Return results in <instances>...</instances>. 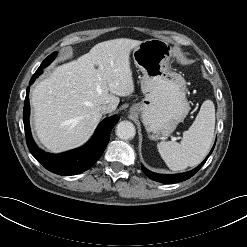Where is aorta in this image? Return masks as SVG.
Segmentation results:
<instances>
[{
  "label": "aorta",
  "instance_id": "aorta-1",
  "mask_svg": "<svg viewBox=\"0 0 247 247\" xmlns=\"http://www.w3.org/2000/svg\"><path fill=\"white\" fill-rule=\"evenodd\" d=\"M136 134V129L130 121H121L116 127V135L122 140L133 139Z\"/></svg>",
  "mask_w": 247,
  "mask_h": 247
}]
</instances>
